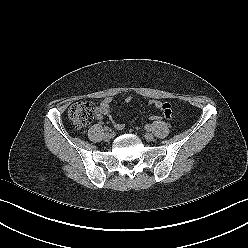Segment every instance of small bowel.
Returning <instances> with one entry per match:
<instances>
[{
  "instance_id": "c3829d8e",
  "label": "small bowel",
  "mask_w": 248,
  "mask_h": 248,
  "mask_svg": "<svg viewBox=\"0 0 248 248\" xmlns=\"http://www.w3.org/2000/svg\"><path fill=\"white\" fill-rule=\"evenodd\" d=\"M131 101V97H126L125 102L129 103ZM111 97H106L102 100V102L95 109V116L97 120H102L105 116L110 117L112 123L116 129H123L124 124L118 121H115L111 118ZM150 105L154 106L157 109H160L163 112V115L166 119H170L172 117L173 111L171 104L167 102H161L157 100H151L149 102Z\"/></svg>"
}]
</instances>
